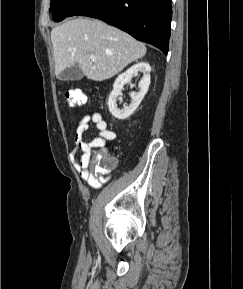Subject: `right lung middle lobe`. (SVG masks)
<instances>
[{"label": "right lung middle lobe", "mask_w": 243, "mask_h": 289, "mask_svg": "<svg viewBox=\"0 0 243 289\" xmlns=\"http://www.w3.org/2000/svg\"><path fill=\"white\" fill-rule=\"evenodd\" d=\"M85 0H51L50 11L54 21L59 22L70 17L73 11Z\"/></svg>", "instance_id": "1"}]
</instances>
